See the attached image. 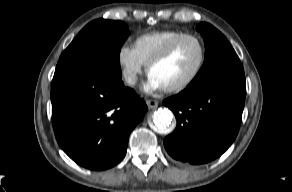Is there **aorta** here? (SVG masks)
<instances>
[{
    "label": "aorta",
    "mask_w": 292,
    "mask_h": 192,
    "mask_svg": "<svg viewBox=\"0 0 292 192\" xmlns=\"http://www.w3.org/2000/svg\"><path fill=\"white\" fill-rule=\"evenodd\" d=\"M173 120V114L168 109H158L153 115L155 130L161 134H167L171 131L170 125Z\"/></svg>",
    "instance_id": "aorta-1"
}]
</instances>
